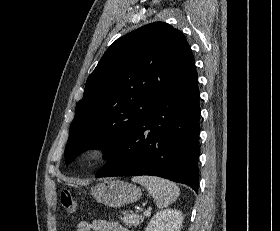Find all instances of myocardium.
<instances>
[{"mask_svg":"<svg viewBox=\"0 0 280 231\" xmlns=\"http://www.w3.org/2000/svg\"><path fill=\"white\" fill-rule=\"evenodd\" d=\"M116 150L115 143L106 138L94 139L85 144L79 153V162L81 165L88 169H93L102 165L107 161ZM90 153H95L92 160H87V156Z\"/></svg>","mask_w":280,"mask_h":231,"instance_id":"f54148a6","label":"myocardium"}]
</instances>
